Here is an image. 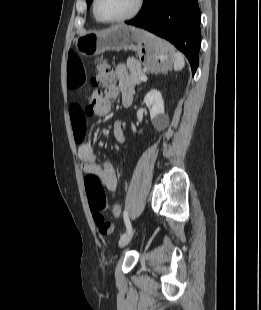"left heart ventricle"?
Returning <instances> with one entry per match:
<instances>
[{
  "mask_svg": "<svg viewBox=\"0 0 261 310\" xmlns=\"http://www.w3.org/2000/svg\"><path fill=\"white\" fill-rule=\"evenodd\" d=\"M136 0H98V13L107 19L127 15L135 5Z\"/></svg>",
  "mask_w": 261,
  "mask_h": 310,
  "instance_id": "left-heart-ventricle-1",
  "label": "left heart ventricle"
}]
</instances>
